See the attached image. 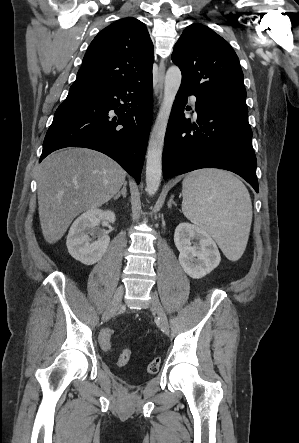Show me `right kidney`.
<instances>
[{"instance_id":"obj_1","label":"right kidney","mask_w":299,"mask_h":443,"mask_svg":"<svg viewBox=\"0 0 299 443\" xmlns=\"http://www.w3.org/2000/svg\"><path fill=\"white\" fill-rule=\"evenodd\" d=\"M103 219L114 223V212L93 208L73 222L67 235L66 245L74 259L85 265H93L102 258L108 248L110 237L102 234L97 240L92 241L89 234Z\"/></svg>"}]
</instances>
